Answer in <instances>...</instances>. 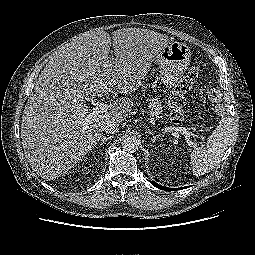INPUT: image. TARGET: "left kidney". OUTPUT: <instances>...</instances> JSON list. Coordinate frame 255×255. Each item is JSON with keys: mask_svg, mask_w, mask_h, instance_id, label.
Instances as JSON below:
<instances>
[{"mask_svg": "<svg viewBox=\"0 0 255 255\" xmlns=\"http://www.w3.org/2000/svg\"><path fill=\"white\" fill-rule=\"evenodd\" d=\"M169 150L168 149H166V150H164V153L167 155V154H169V152H168Z\"/></svg>", "mask_w": 255, "mask_h": 255, "instance_id": "left-kidney-1", "label": "left kidney"}]
</instances>
